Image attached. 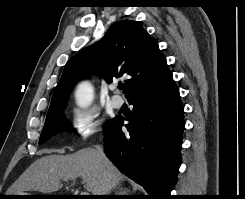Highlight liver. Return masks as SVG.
<instances>
[{"label": "liver", "instance_id": "1", "mask_svg": "<svg viewBox=\"0 0 245 199\" xmlns=\"http://www.w3.org/2000/svg\"><path fill=\"white\" fill-rule=\"evenodd\" d=\"M105 175L109 177L111 189L116 188L124 178L108 159L102 161L96 149L83 148L70 155H48L36 160L12 185L9 193H52L62 187L61 180L81 177L86 190L92 195H99Z\"/></svg>", "mask_w": 245, "mask_h": 199}]
</instances>
